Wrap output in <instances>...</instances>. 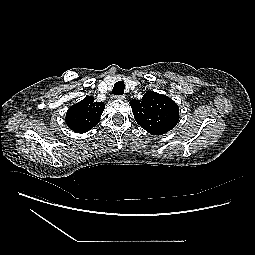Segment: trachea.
<instances>
[{
  "instance_id": "obj_1",
  "label": "trachea",
  "mask_w": 255,
  "mask_h": 255,
  "mask_svg": "<svg viewBox=\"0 0 255 255\" xmlns=\"http://www.w3.org/2000/svg\"><path fill=\"white\" fill-rule=\"evenodd\" d=\"M124 89H125V84L123 81H118L115 83L112 93L114 95H123L124 94Z\"/></svg>"
}]
</instances>
